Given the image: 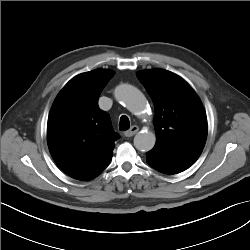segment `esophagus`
Here are the masks:
<instances>
[{
	"mask_svg": "<svg viewBox=\"0 0 250 250\" xmlns=\"http://www.w3.org/2000/svg\"><path fill=\"white\" fill-rule=\"evenodd\" d=\"M139 130V127L137 125H133L129 130H127L124 135L126 137H132L133 135H135Z\"/></svg>",
	"mask_w": 250,
	"mask_h": 250,
	"instance_id": "esophagus-1",
	"label": "esophagus"
}]
</instances>
